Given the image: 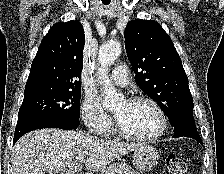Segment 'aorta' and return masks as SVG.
<instances>
[{
	"label": "aorta",
	"instance_id": "obj_1",
	"mask_svg": "<svg viewBox=\"0 0 224 174\" xmlns=\"http://www.w3.org/2000/svg\"><path fill=\"white\" fill-rule=\"evenodd\" d=\"M120 54L121 44L118 42H109L101 45L99 48L98 59L101 64V68L99 70V80L103 86L104 106L107 109L115 108L124 100L123 94L118 93L113 88L108 78V67L114 63Z\"/></svg>",
	"mask_w": 224,
	"mask_h": 174
}]
</instances>
